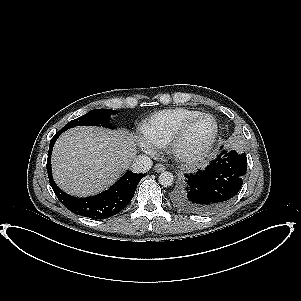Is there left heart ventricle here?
I'll return each instance as SVG.
<instances>
[{"label": "left heart ventricle", "mask_w": 301, "mask_h": 301, "mask_svg": "<svg viewBox=\"0 0 301 301\" xmlns=\"http://www.w3.org/2000/svg\"><path fill=\"white\" fill-rule=\"evenodd\" d=\"M213 132V122L203 118L196 121L188 130L181 148L185 152H193L201 148L210 138Z\"/></svg>", "instance_id": "obj_1"}]
</instances>
